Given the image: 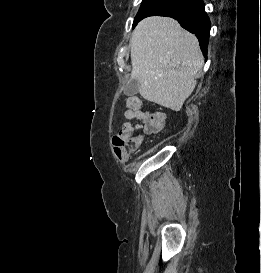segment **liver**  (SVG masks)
Masks as SVG:
<instances>
[{"label": "liver", "instance_id": "liver-1", "mask_svg": "<svg viewBox=\"0 0 261 273\" xmlns=\"http://www.w3.org/2000/svg\"><path fill=\"white\" fill-rule=\"evenodd\" d=\"M130 45L131 78L140 95L180 111L204 64L198 39L172 18L150 16L136 26Z\"/></svg>", "mask_w": 261, "mask_h": 273}]
</instances>
